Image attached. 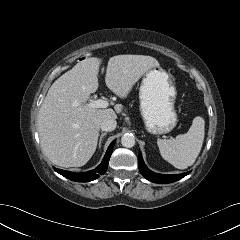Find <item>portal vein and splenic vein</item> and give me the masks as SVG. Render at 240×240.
<instances>
[{"label":"portal vein and splenic vein","instance_id":"18ae733b","mask_svg":"<svg viewBox=\"0 0 240 240\" xmlns=\"http://www.w3.org/2000/svg\"><path fill=\"white\" fill-rule=\"evenodd\" d=\"M89 108H107L109 103L106 100L98 99L86 104Z\"/></svg>","mask_w":240,"mask_h":240}]
</instances>
